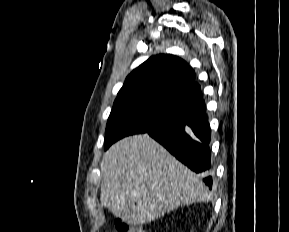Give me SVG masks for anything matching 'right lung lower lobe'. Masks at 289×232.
Returning <instances> with one entry per match:
<instances>
[{"label":"right lung lower lobe","instance_id":"98d812e1","mask_svg":"<svg viewBox=\"0 0 289 232\" xmlns=\"http://www.w3.org/2000/svg\"><path fill=\"white\" fill-rule=\"evenodd\" d=\"M147 133L191 170L206 175L204 182L211 188V131L205 106L184 111L177 119Z\"/></svg>","mask_w":289,"mask_h":232}]
</instances>
